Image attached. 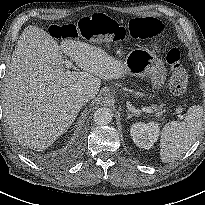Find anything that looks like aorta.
Here are the masks:
<instances>
[{
    "mask_svg": "<svg viewBox=\"0 0 205 205\" xmlns=\"http://www.w3.org/2000/svg\"><path fill=\"white\" fill-rule=\"evenodd\" d=\"M94 121L98 125H107L113 118L112 111L109 108H99L94 113Z\"/></svg>",
    "mask_w": 205,
    "mask_h": 205,
    "instance_id": "aorta-1",
    "label": "aorta"
}]
</instances>
